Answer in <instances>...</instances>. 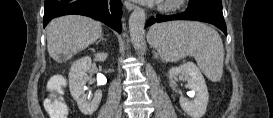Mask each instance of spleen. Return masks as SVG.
<instances>
[{"label":"spleen","instance_id":"obj_1","mask_svg":"<svg viewBox=\"0 0 273 118\" xmlns=\"http://www.w3.org/2000/svg\"><path fill=\"white\" fill-rule=\"evenodd\" d=\"M148 42L163 61L177 62L192 56L208 79L220 81L224 48L220 35L213 28L189 21L156 24L149 30Z\"/></svg>","mask_w":273,"mask_h":118}]
</instances>
